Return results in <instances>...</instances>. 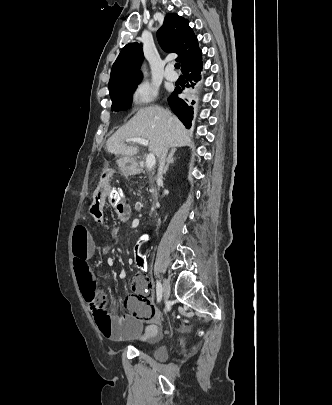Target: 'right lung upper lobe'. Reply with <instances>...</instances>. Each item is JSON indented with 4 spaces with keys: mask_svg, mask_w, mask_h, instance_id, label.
I'll use <instances>...</instances> for the list:
<instances>
[{
    "mask_svg": "<svg viewBox=\"0 0 332 405\" xmlns=\"http://www.w3.org/2000/svg\"><path fill=\"white\" fill-rule=\"evenodd\" d=\"M157 37L165 51L178 54L177 61L181 63L182 71L202 57V51L193 30L189 27V21L176 13L166 15ZM143 57L142 44H127L113 64L109 90L122 82L141 79L139 69Z\"/></svg>",
    "mask_w": 332,
    "mask_h": 405,
    "instance_id": "obj_1",
    "label": "right lung upper lobe"
}]
</instances>
